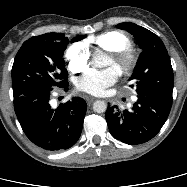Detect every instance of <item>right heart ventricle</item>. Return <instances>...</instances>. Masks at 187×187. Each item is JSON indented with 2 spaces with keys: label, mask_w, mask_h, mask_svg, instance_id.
I'll return each mask as SVG.
<instances>
[{
  "label": "right heart ventricle",
  "mask_w": 187,
  "mask_h": 187,
  "mask_svg": "<svg viewBox=\"0 0 187 187\" xmlns=\"http://www.w3.org/2000/svg\"><path fill=\"white\" fill-rule=\"evenodd\" d=\"M90 41L99 48L109 52L130 49L132 47L130 38L119 31H107L101 33L93 37Z\"/></svg>",
  "instance_id": "1"
}]
</instances>
